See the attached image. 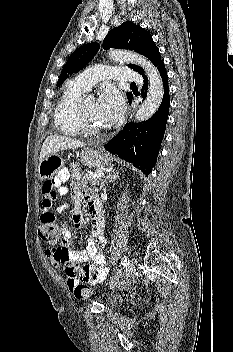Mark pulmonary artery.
<instances>
[{"label":"pulmonary artery","mask_w":233,"mask_h":352,"mask_svg":"<svg viewBox=\"0 0 233 352\" xmlns=\"http://www.w3.org/2000/svg\"><path fill=\"white\" fill-rule=\"evenodd\" d=\"M111 79L134 83L142 81L140 74L128 67L107 65H97L88 68L78 74L73 81L84 90H89L97 82Z\"/></svg>","instance_id":"1"}]
</instances>
